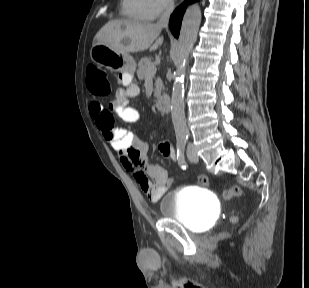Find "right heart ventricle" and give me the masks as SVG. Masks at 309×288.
I'll list each match as a JSON object with an SVG mask.
<instances>
[{"instance_id":"e07e8e85","label":"right heart ventricle","mask_w":309,"mask_h":288,"mask_svg":"<svg viewBox=\"0 0 309 288\" xmlns=\"http://www.w3.org/2000/svg\"><path fill=\"white\" fill-rule=\"evenodd\" d=\"M121 13L136 21L153 19L146 0H121Z\"/></svg>"}]
</instances>
